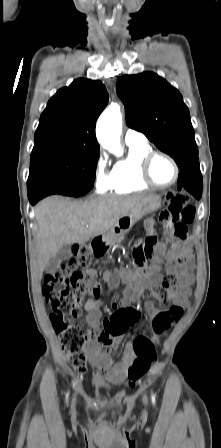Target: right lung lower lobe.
Wrapping results in <instances>:
<instances>
[{"instance_id":"98d812e1","label":"right lung lower lobe","mask_w":221,"mask_h":448,"mask_svg":"<svg viewBox=\"0 0 221 448\" xmlns=\"http://www.w3.org/2000/svg\"><path fill=\"white\" fill-rule=\"evenodd\" d=\"M28 186V198L32 205L36 204L40 199L51 194H62L66 196H82L88 191L73 192L52 183L40 182Z\"/></svg>"}]
</instances>
